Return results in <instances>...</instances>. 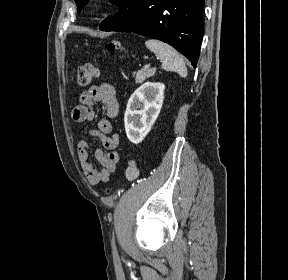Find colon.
I'll return each instance as SVG.
<instances>
[{
  "mask_svg": "<svg viewBox=\"0 0 288 280\" xmlns=\"http://www.w3.org/2000/svg\"><path fill=\"white\" fill-rule=\"evenodd\" d=\"M107 50L109 51H118L122 50L123 47L119 42H110L106 45ZM99 74L97 67L92 63H84L79 65L76 70V81L81 86L89 85L93 79H95ZM139 175V170L137 164L134 160H129L125 170L126 179L130 182L137 179ZM112 189L108 188L107 193H111Z\"/></svg>",
  "mask_w": 288,
  "mask_h": 280,
  "instance_id": "colon-1",
  "label": "colon"
}]
</instances>
